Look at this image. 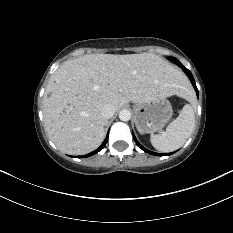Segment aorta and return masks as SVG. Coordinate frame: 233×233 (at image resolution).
<instances>
[{
    "label": "aorta",
    "instance_id": "aorta-1",
    "mask_svg": "<svg viewBox=\"0 0 233 233\" xmlns=\"http://www.w3.org/2000/svg\"><path fill=\"white\" fill-rule=\"evenodd\" d=\"M119 119L121 121H129L131 119V112L128 109H122L119 112Z\"/></svg>",
    "mask_w": 233,
    "mask_h": 233
}]
</instances>
